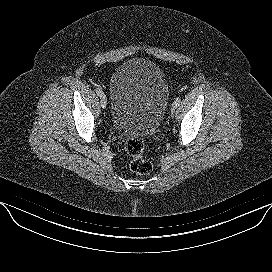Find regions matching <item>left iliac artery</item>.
Returning <instances> with one entry per match:
<instances>
[{
	"label": "left iliac artery",
	"mask_w": 272,
	"mask_h": 272,
	"mask_svg": "<svg viewBox=\"0 0 272 272\" xmlns=\"http://www.w3.org/2000/svg\"><path fill=\"white\" fill-rule=\"evenodd\" d=\"M180 103H181V98H176V100L174 101V103H173V105L175 106V107H178L179 105H180Z\"/></svg>",
	"instance_id": "left-iliac-artery-1"
}]
</instances>
